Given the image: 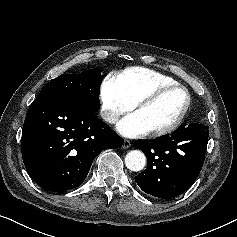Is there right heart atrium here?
Returning a JSON list of instances; mask_svg holds the SVG:
<instances>
[{
    "label": "right heart atrium",
    "instance_id": "obj_1",
    "mask_svg": "<svg viewBox=\"0 0 237 237\" xmlns=\"http://www.w3.org/2000/svg\"><path fill=\"white\" fill-rule=\"evenodd\" d=\"M99 98L101 102V116L109 124H114L120 116L134 108V104L124 95L113 75L103 79Z\"/></svg>",
    "mask_w": 237,
    "mask_h": 237
}]
</instances>
